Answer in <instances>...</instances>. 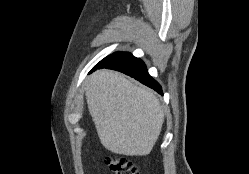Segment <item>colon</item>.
Returning a JSON list of instances; mask_svg holds the SVG:
<instances>
[{"mask_svg": "<svg viewBox=\"0 0 249 174\" xmlns=\"http://www.w3.org/2000/svg\"><path fill=\"white\" fill-rule=\"evenodd\" d=\"M105 163L112 174H139L138 168L126 157H107Z\"/></svg>", "mask_w": 249, "mask_h": 174, "instance_id": "5ec220e1", "label": "colon"}]
</instances>
